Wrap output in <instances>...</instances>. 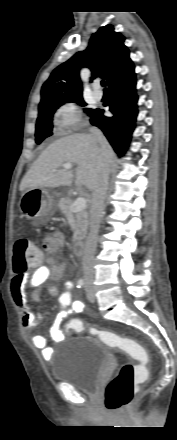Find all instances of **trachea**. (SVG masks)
<instances>
[{
    "label": "trachea",
    "instance_id": "1",
    "mask_svg": "<svg viewBox=\"0 0 177 440\" xmlns=\"http://www.w3.org/2000/svg\"><path fill=\"white\" fill-rule=\"evenodd\" d=\"M101 85H102L103 87H105V81H102V82H101ZM104 90H107V89L104 88Z\"/></svg>",
    "mask_w": 177,
    "mask_h": 440
}]
</instances>
